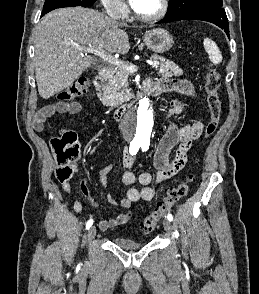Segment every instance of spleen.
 Here are the masks:
<instances>
[{
  "mask_svg": "<svg viewBox=\"0 0 259 294\" xmlns=\"http://www.w3.org/2000/svg\"><path fill=\"white\" fill-rule=\"evenodd\" d=\"M203 45L211 62L214 64H220L222 62V54L216 43L209 38H204Z\"/></svg>",
  "mask_w": 259,
  "mask_h": 294,
  "instance_id": "3e777b00",
  "label": "spleen"
}]
</instances>
